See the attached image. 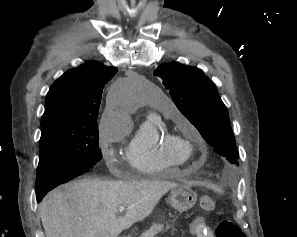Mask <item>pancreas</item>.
Segmentation results:
<instances>
[{"label":"pancreas","mask_w":297,"mask_h":237,"mask_svg":"<svg viewBox=\"0 0 297 237\" xmlns=\"http://www.w3.org/2000/svg\"><path fill=\"white\" fill-rule=\"evenodd\" d=\"M170 228L169 225L164 229L163 224L153 223L149 230L143 232L140 237H155L159 232L167 231Z\"/></svg>","instance_id":"pancreas-1"}]
</instances>
